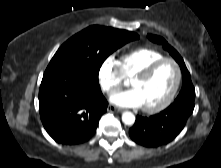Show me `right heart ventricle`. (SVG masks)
Here are the masks:
<instances>
[{
  "mask_svg": "<svg viewBox=\"0 0 221 168\" xmlns=\"http://www.w3.org/2000/svg\"><path fill=\"white\" fill-rule=\"evenodd\" d=\"M162 58L165 56L157 50L138 48L122 55L119 64L123 75L133 78L148 65Z\"/></svg>",
  "mask_w": 221,
  "mask_h": 168,
  "instance_id": "obj_1",
  "label": "right heart ventricle"
}]
</instances>
